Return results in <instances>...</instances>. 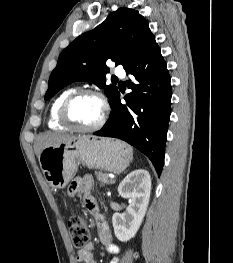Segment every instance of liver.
Masks as SVG:
<instances>
[{
	"label": "liver",
	"mask_w": 233,
	"mask_h": 263,
	"mask_svg": "<svg viewBox=\"0 0 233 263\" xmlns=\"http://www.w3.org/2000/svg\"><path fill=\"white\" fill-rule=\"evenodd\" d=\"M72 138H74V136L68 134H62L59 132H50V131L44 132L40 134L35 140L34 143L35 154L39 158V154L44 148L48 146L57 145L63 141L70 140Z\"/></svg>",
	"instance_id": "1"
}]
</instances>
